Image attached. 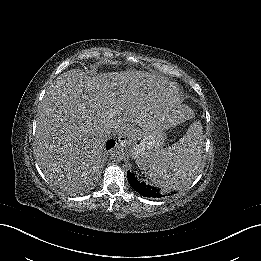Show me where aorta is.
Listing matches in <instances>:
<instances>
[{
    "label": "aorta",
    "mask_w": 261,
    "mask_h": 261,
    "mask_svg": "<svg viewBox=\"0 0 261 261\" xmlns=\"http://www.w3.org/2000/svg\"><path fill=\"white\" fill-rule=\"evenodd\" d=\"M111 157L114 161L120 162L126 159L127 154L124 150V145L117 143V145L111 150Z\"/></svg>",
    "instance_id": "aorta-1"
}]
</instances>
